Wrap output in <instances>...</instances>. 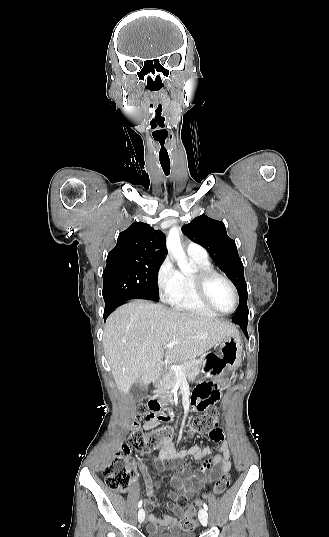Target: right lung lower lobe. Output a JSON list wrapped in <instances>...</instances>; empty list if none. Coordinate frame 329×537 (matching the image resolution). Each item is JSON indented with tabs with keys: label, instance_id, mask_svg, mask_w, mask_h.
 <instances>
[{
	"label": "right lung lower lobe",
	"instance_id": "1",
	"mask_svg": "<svg viewBox=\"0 0 329 537\" xmlns=\"http://www.w3.org/2000/svg\"><path fill=\"white\" fill-rule=\"evenodd\" d=\"M123 303V302H122ZM121 303L119 301H111L105 303V309H104V320L108 317V315L114 310L115 307L120 305Z\"/></svg>",
	"mask_w": 329,
	"mask_h": 537
}]
</instances>
